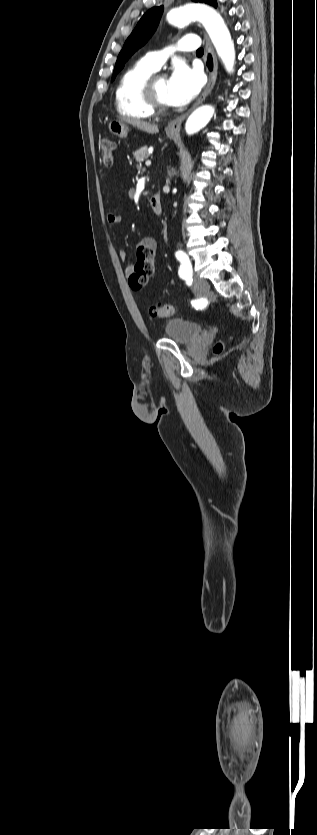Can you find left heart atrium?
<instances>
[{
    "label": "left heart atrium",
    "instance_id": "left-heart-atrium-1",
    "mask_svg": "<svg viewBox=\"0 0 317 835\" xmlns=\"http://www.w3.org/2000/svg\"><path fill=\"white\" fill-rule=\"evenodd\" d=\"M201 86L199 71L184 63L176 64L167 84L169 104L181 106L189 103L199 93Z\"/></svg>",
    "mask_w": 317,
    "mask_h": 835
}]
</instances>
